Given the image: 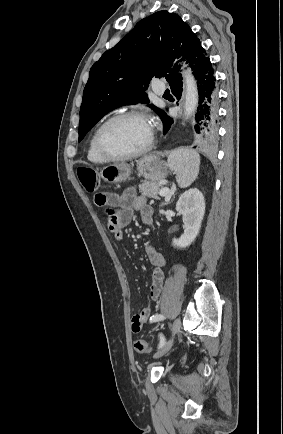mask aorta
Wrapping results in <instances>:
<instances>
[{"label": "aorta", "instance_id": "1", "mask_svg": "<svg viewBox=\"0 0 283 434\" xmlns=\"http://www.w3.org/2000/svg\"><path fill=\"white\" fill-rule=\"evenodd\" d=\"M182 75L185 88L184 116L185 119H188L197 108L198 89L195 78L191 71L184 70Z\"/></svg>", "mask_w": 283, "mask_h": 434}]
</instances>
